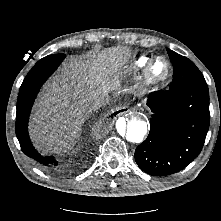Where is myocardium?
Listing matches in <instances>:
<instances>
[{
    "label": "myocardium",
    "mask_w": 221,
    "mask_h": 221,
    "mask_svg": "<svg viewBox=\"0 0 221 221\" xmlns=\"http://www.w3.org/2000/svg\"><path fill=\"white\" fill-rule=\"evenodd\" d=\"M158 60H163L167 67L166 74L161 78H158L153 75V66L155 62H157ZM171 74H172V66L170 61L164 56H156L149 61V63L145 68L144 82L149 88L153 89L159 88L165 85L169 81Z\"/></svg>",
    "instance_id": "f54148a6"
}]
</instances>
